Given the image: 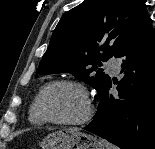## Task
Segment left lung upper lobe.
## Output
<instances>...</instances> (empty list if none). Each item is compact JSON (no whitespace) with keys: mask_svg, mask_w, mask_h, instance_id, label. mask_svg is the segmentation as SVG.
<instances>
[{"mask_svg":"<svg viewBox=\"0 0 155 149\" xmlns=\"http://www.w3.org/2000/svg\"><path fill=\"white\" fill-rule=\"evenodd\" d=\"M146 0H85L65 13L53 31L37 73H71L100 92L110 77L107 61L136 34L149 16Z\"/></svg>","mask_w":155,"mask_h":149,"instance_id":"obj_1","label":"left lung upper lobe"}]
</instances>
